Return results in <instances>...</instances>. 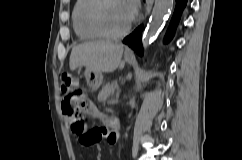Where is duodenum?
<instances>
[{"mask_svg":"<svg viewBox=\"0 0 242 160\" xmlns=\"http://www.w3.org/2000/svg\"><path fill=\"white\" fill-rule=\"evenodd\" d=\"M104 123L107 128L113 127L114 126V119L112 117H106L104 118Z\"/></svg>","mask_w":242,"mask_h":160,"instance_id":"410a0bca","label":"duodenum"}]
</instances>
